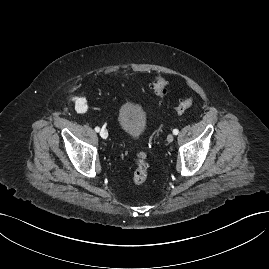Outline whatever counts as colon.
Instances as JSON below:
<instances>
[{
	"label": "colon",
	"mask_w": 269,
	"mask_h": 269,
	"mask_svg": "<svg viewBox=\"0 0 269 269\" xmlns=\"http://www.w3.org/2000/svg\"><path fill=\"white\" fill-rule=\"evenodd\" d=\"M150 87L160 98H164L168 94L167 82L160 76H156L151 80ZM194 101L193 95H188L174 107L175 112L178 114L184 113L193 106ZM149 174L147 154L145 151H139L135 158V167L132 174L133 182L136 185L144 184L148 180Z\"/></svg>",
	"instance_id": "colon-1"
}]
</instances>
